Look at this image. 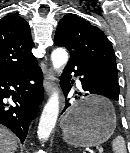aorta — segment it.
Segmentation results:
<instances>
[{
  "mask_svg": "<svg viewBox=\"0 0 130 153\" xmlns=\"http://www.w3.org/2000/svg\"><path fill=\"white\" fill-rule=\"evenodd\" d=\"M52 65L61 72L68 62V53L63 48L55 49L51 54ZM59 113V95L54 91L47 101L40 117L37 135L40 140H47L55 127Z\"/></svg>",
  "mask_w": 130,
  "mask_h": 153,
  "instance_id": "aorta-1",
  "label": "aorta"
}]
</instances>
